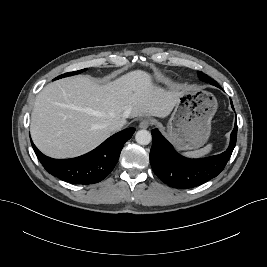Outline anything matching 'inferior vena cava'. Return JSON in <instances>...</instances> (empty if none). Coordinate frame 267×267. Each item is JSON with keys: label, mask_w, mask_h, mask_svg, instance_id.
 <instances>
[{"label": "inferior vena cava", "mask_w": 267, "mask_h": 267, "mask_svg": "<svg viewBox=\"0 0 267 267\" xmlns=\"http://www.w3.org/2000/svg\"><path fill=\"white\" fill-rule=\"evenodd\" d=\"M124 123L120 120H117V121H112L109 123L108 125V129L111 131V132H116V131H119L121 130V128L123 127Z\"/></svg>", "instance_id": "obj_1"}]
</instances>
